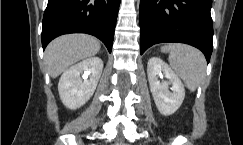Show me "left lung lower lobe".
I'll use <instances>...</instances> for the list:
<instances>
[{
	"mask_svg": "<svg viewBox=\"0 0 243 145\" xmlns=\"http://www.w3.org/2000/svg\"><path fill=\"white\" fill-rule=\"evenodd\" d=\"M212 0H140V50L162 42L200 49L209 62L213 48Z\"/></svg>",
	"mask_w": 243,
	"mask_h": 145,
	"instance_id": "obj_1",
	"label": "left lung lower lobe"
}]
</instances>
